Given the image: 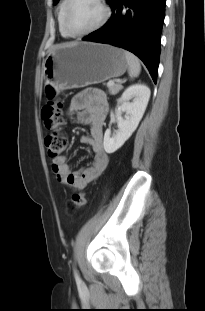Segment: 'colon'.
<instances>
[{"instance_id":"5ec220e1","label":"colon","mask_w":205,"mask_h":311,"mask_svg":"<svg viewBox=\"0 0 205 311\" xmlns=\"http://www.w3.org/2000/svg\"><path fill=\"white\" fill-rule=\"evenodd\" d=\"M41 118L44 126L49 131L45 137V146L49 157L56 158L66 149L67 137L60 133L63 124L62 120V101L57 97L51 88L47 90V100L41 108ZM86 203L84 192L73 193L68 200V209L73 212Z\"/></svg>"}]
</instances>
